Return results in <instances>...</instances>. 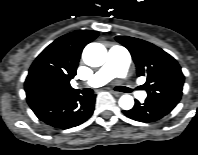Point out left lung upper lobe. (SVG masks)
<instances>
[{"label": "left lung upper lobe", "mask_w": 198, "mask_h": 155, "mask_svg": "<svg viewBox=\"0 0 198 155\" xmlns=\"http://www.w3.org/2000/svg\"><path fill=\"white\" fill-rule=\"evenodd\" d=\"M116 40L131 53L138 76H146L147 98L179 102L184 75L177 61L161 48L138 38L117 36Z\"/></svg>", "instance_id": "1"}]
</instances>
